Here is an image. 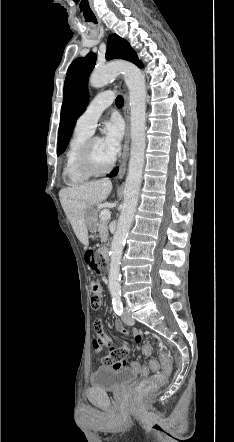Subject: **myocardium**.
<instances>
[{
	"mask_svg": "<svg viewBox=\"0 0 234 442\" xmlns=\"http://www.w3.org/2000/svg\"><path fill=\"white\" fill-rule=\"evenodd\" d=\"M96 139V137H91L87 139V141L82 146L78 156V165L80 169L90 176L104 175L111 171L115 165V158H113L111 162L104 168H98L95 165L93 159V142Z\"/></svg>",
	"mask_w": 234,
	"mask_h": 442,
	"instance_id": "obj_1",
	"label": "myocardium"
}]
</instances>
